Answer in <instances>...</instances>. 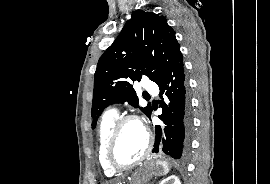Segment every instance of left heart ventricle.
<instances>
[{"instance_id":"obj_1","label":"left heart ventricle","mask_w":270,"mask_h":184,"mask_svg":"<svg viewBox=\"0 0 270 184\" xmlns=\"http://www.w3.org/2000/svg\"><path fill=\"white\" fill-rule=\"evenodd\" d=\"M146 134L137 122L126 123L119 135L114 160L119 164H128L137 160L146 148Z\"/></svg>"}]
</instances>
